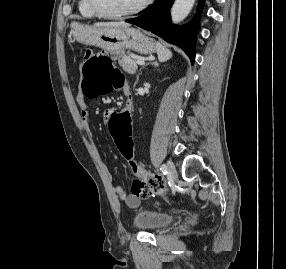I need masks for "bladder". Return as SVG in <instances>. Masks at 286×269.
<instances>
[{
    "mask_svg": "<svg viewBox=\"0 0 286 269\" xmlns=\"http://www.w3.org/2000/svg\"><path fill=\"white\" fill-rule=\"evenodd\" d=\"M174 217L154 210H140L133 216V225L144 232H153L168 226Z\"/></svg>",
    "mask_w": 286,
    "mask_h": 269,
    "instance_id": "obj_1",
    "label": "bladder"
}]
</instances>
